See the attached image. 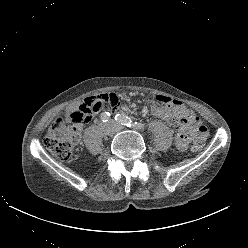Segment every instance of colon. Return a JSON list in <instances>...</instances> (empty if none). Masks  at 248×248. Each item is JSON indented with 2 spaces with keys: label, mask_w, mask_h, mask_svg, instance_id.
Masks as SVG:
<instances>
[{
  "label": "colon",
  "mask_w": 248,
  "mask_h": 248,
  "mask_svg": "<svg viewBox=\"0 0 248 248\" xmlns=\"http://www.w3.org/2000/svg\"><path fill=\"white\" fill-rule=\"evenodd\" d=\"M156 98V97H155ZM105 102H110L104 96ZM102 102L97 96L84 98L80 103L70 107L65 116L57 118L49 128L45 139V147L60 161H68L80 136V127L88 123L94 113L101 108ZM196 136L192 143V150L199 151L206 141L207 130L205 126H195Z\"/></svg>",
  "instance_id": "1"
}]
</instances>
